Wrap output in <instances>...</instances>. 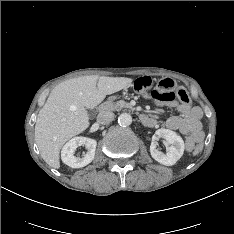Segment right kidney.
Returning a JSON list of instances; mask_svg holds the SVG:
<instances>
[{
    "instance_id": "1",
    "label": "right kidney",
    "mask_w": 234,
    "mask_h": 234,
    "mask_svg": "<svg viewBox=\"0 0 234 234\" xmlns=\"http://www.w3.org/2000/svg\"><path fill=\"white\" fill-rule=\"evenodd\" d=\"M85 144L87 152L83 157L74 155L78 146ZM97 142L91 138L74 137L69 140L62 148L61 159L63 163L72 168H81L92 162L95 156Z\"/></svg>"
}]
</instances>
